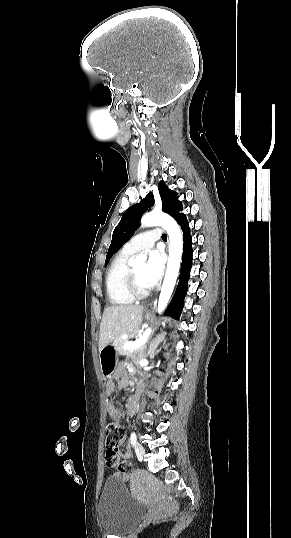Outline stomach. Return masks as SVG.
Listing matches in <instances>:
<instances>
[{
	"label": "stomach",
	"mask_w": 291,
	"mask_h": 538,
	"mask_svg": "<svg viewBox=\"0 0 291 538\" xmlns=\"http://www.w3.org/2000/svg\"><path fill=\"white\" fill-rule=\"evenodd\" d=\"M145 318L150 319V315L146 314ZM100 370L104 378L111 377L117 367L118 353L114 345H107L99 351Z\"/></svg>",
	"instance_id": "obj_1"
}]
</instances>
